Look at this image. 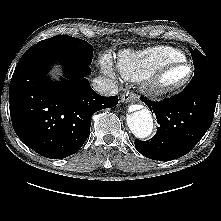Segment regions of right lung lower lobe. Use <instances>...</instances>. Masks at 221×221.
Listing matches in <instances>:
<instances>
[{
  "mask_svg": "<svg viewBox=\"0 0 221 221\" xmlns=\"http://www.w3.org/2000/svg\"><path fill=\"white\" fill-rule=\"evenodd\" d=\"M61 64L64 76L47 75ZM89 65L33 45L19 60L9 88L10 115L18 137L38 154L61 159L76 153L90 134L91 116L112 108L118 96L104 97L90 86Z\"/></svg>",
  "mask_w": 221,
  "mask_h": 221,
  "instance_id": "1",
  "label": "right lung lower lobe"
}]
</instances>
